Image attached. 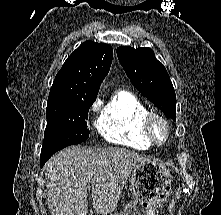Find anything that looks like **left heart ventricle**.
Wrapping results in <instances>:
<instances>
[{"mask_svg": "<svg viewBox=\"0 0 221 215\" xmlns=\"http://www.w3.org/2000/svg\"><path fill=\"white\" fill-rule=\"evenodd\" d=\"M156 133L159 138L163 137L164 129L162 128V126H160V125L156 126Z\"/></svg>", "mask_w": 221, "mask_h": 215, "instance_id": "left-heart-ventricle-1", "label": "left heart ventricle"}]
</instances>
